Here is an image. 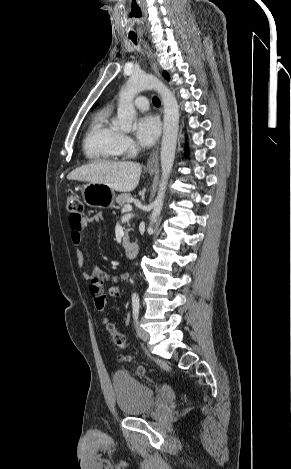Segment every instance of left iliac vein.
Wrapping results in <instances>:
<instances>
[{"mask_svg": "<svg viewBox=\"0 0 291 469\" xmlns=\"http://www.w3.org/2000/svg\"><path fill=\"white\" fill-rule=\"evenodd\" d=\"M136 332L137 335L144 341L147 342L149 340V334L146 330L141 328L138 323L136 324Z\"/></svg>", "mask_w": 291, "mask_h": 469, "instance_id": "left-iliac-vein-1", "label": "left iliac vein"}]
</instances>
